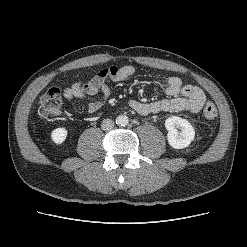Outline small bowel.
<instances>
[{"instance_id": "small-bowel-1", "label": "small bowel", "mask_w": 247, "mask_h": 247, "mask_svg": "<svg viewBox=\"0 0 247 247\" xmlns=\"http://www.w3.org/2000/svg\"><path fill=\"white\" fill-rule=\"evenodd\" d=\"M134 72L135 67L131 65L122 67L110 66L101 70L88 82H76L72 86L65 88L63 96L69 101L75 98L87 99L89 101L88 111L95 113L102 106V101L97 99L96 95L101 92L103 99H107L110 95L107 81H125ZM158 88L162 89L168 98L153 102H141L133 99L129 102L130 107L140 115L160 112L178 113L183 111L198 113L206 101V96L199 87L184 84L177 76L165 78Z\"/></svg>"}]
</instances>
